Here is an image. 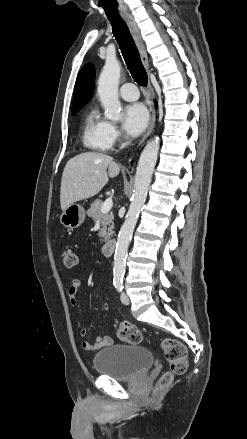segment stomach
Here are the masks:
<instances>
[{
    "instance_id": "1",
    "label": "stomach",
    "mask_w": 247,
    "mask_h": 439,
    "mask_svg": "<svg viewBox=\"0 0 247 439\" xmlns=\"http://www.w3.org/2000/svg\"><path fill=\"white\" fill-rule=\"evenodd\" d=\"M85 220V210L79 204L68 206L60 216L61 224L69 229L79 227Z\"/></svg>"
}]
</instances>
